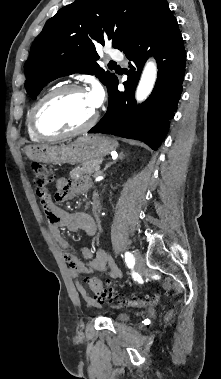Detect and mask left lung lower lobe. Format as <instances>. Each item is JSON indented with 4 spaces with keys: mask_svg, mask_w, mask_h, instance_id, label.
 Wrapping results in <instances>:
<instances>
[{
    "mask_svg": "<svg viewBox=\"0 0 221 379\" xmlns=\"http://www.w3.org/2000/svg\"><path fill=\"white\" fill-rule=\"evenodd\" d=\"M132 61L125 91L116 78L108 87L109 104L103 118L88 133L112 134L141 140L156 150L165 137L182 92L186 53L177 20L163 1L150 24L126 43L123 50ZM149 55L157 60L158 77L150 97L137 105L134 92Z\"/></svg>",
    "mask_w": 221,
    "mask_h": 379,
    "instance_id": "1",
    "label": "left lung lower lobe"
}]
</instances>
